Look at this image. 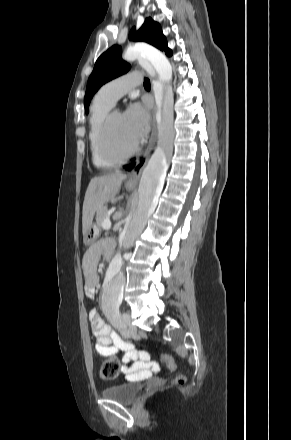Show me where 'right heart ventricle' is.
I'll use <instances>...</instances> for the list:
<instances>
[{
  "label": "right heart ventricle",
  "mask_w": 291,
  "mask_h": 440,
  "mask_svg": "<svg viewBox=\"0 0 291 440\" xmlns=\"http://www.w3.org/2000/svg\"><path fill=\"white\" fill-rule=\"evenodd\" d=\"M112 104L100 97L99 93L96 94L92 106L89 119V147L92 156L93 164L100 168H111L116 165L105 158L100 149L99 143V130L105 116L110 112Z\"/></svg>",
  "instance_id": "right-heart-ventricle-1"
}]
</instances>
